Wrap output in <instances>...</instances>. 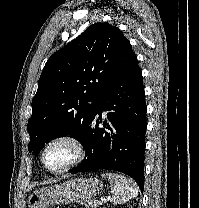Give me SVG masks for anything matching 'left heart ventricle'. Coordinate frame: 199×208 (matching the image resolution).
Segmentation results:
<instances>
[{
	"label": "left heart ventricle",
	"mask_w": 199,
	"mask_h": 208,
	"mask_svg": "<svg viewBox=\"0 0 199 208\" xmlns=\"http://www.w3.org/2000/svg\"><path fill=\"white\" fill-rule=\"evenodd\" d=\"M75 156V148L69 142L61 141L51 145L45 154L47 165L59 168L69 163Z\"/></svg>",
	"instance_id": "obj_1"
}]
</instances>
